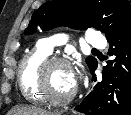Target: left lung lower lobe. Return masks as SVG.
<instances>
[{
	"label": "left lung lower lobe",
	"instance_id": "obj_1",
	"mask_svg": "<svg viewBox=\"0 0 131 115\" xmlns=\"http://www.w3.org/2000/svg\"><path fill=\"white\" fill-rule=\"evenodd\" d=\"M107 41L108 54L116 57L103 67L102 81L74 109L85 115H131V17ZM96 68L90 69L94 81Z\"/></svg>",
	"mask_w": 131,
	"mask_h": 115
}]
</instances>
